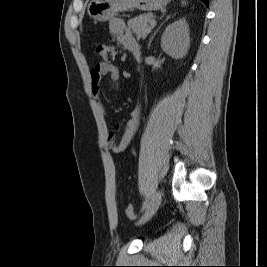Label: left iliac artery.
<instances>
[{"label": "left iliac artery", "instance_id": "left-iliac-artery-1", "mask_svg": "<svg viewBox=\"0 0 267 267\" xmlns=\"http://www.w3.org/2000/svg\"><path fill=\"white\" fill-rule=\"evenodd\" d=\"M149 201H150V198L148 197V198L144 201V203H143V205H142V208H141V211H143L144 209H146V207H147L148 204H149Z\"/></svg>", "mask_w": 267, "mask_h": 267}]
</instances>
